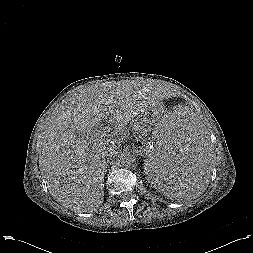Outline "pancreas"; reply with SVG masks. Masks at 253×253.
<instances>
[{
    "label": "pancreas",
    "instance_id": "obj_1",
    "mask_svg": "<svg viewBox=\"0 0 253 253\" xmlns=\"http://www.w3.org/2000/svg\"><path fill=\"white\" fill-rule=\"evenodd\" d=\"M131 129L134 133L140 134V141L142 144H144V152H146L147 155L152 153V150H149L148 143H147V134L149 132L150 126L147 123H144L142 121L134 122L131 125Z\"/></svg>",
    "mask_w": 253,
    "mask_h": 253
}]
</instances>
